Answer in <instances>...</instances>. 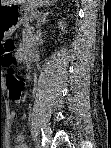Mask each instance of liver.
I'll use <instances>...</instances> for the list:
<instances>
[{
    "mask_svg": "<svg viewBox=\"0 0 111 148\" xmlns=\"http://www.w3.org/2000/svg\"><path fill=\"white\" fill-rule=\"evenodd\" d=\"M21 0H3L2 4L3 5H9V4H19Z\"/></svg>",
    "mask_w": 111,
    "mask_h": 148,
    "instance_id": "1",
    "label": "liver"
}]
</instances>
